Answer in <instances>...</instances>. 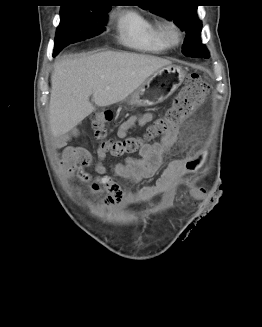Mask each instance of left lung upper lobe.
Wrapping results in <instances>:
<instances>
[{
    "label": "left lung upper lobe",
    "instance_id": "left-lung-upper-lobe-1",
    "mask_svg": "<svg viewBox=\"0 0 262 327\" xmlns=\"http://www.w3.org/2000/svg\"><path fill=\"white\" fill-rule=\"evenodd\" d=\"M141 7L168 20H173L186 32L182 47L186 56L209 57V52L200 38L202 24L197 15V6L191 4L190 0H144Z\"/></svg>",
    "mask_w": 262,
    "mask_h": 327
}]
</instances>
